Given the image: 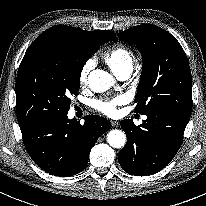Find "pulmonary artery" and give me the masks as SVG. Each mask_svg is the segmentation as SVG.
Instances as JSON below:
<instances>
[{"label": "pulmonary artery", "instance_id": "e3ab8cb5", "mask_svg": "<svg viewBox=\"0 0 206 206\" xmlns=\"http://www.w3.org/2000/svg\"><path fill=\"white\" fill-rule=\"evenodd\" d=\"M132 73V68H125L116 74L117 78L120 80H126L130 77Z\"/></svg>", "mask_w": 206, "mask_h": 206}]
</instances>
